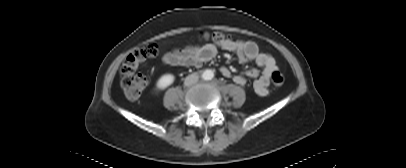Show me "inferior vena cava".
Here are the masks:
<instances>
[{
	"mask_svg": "<svg viewBox=\"0 0 406 168\" xmlns=\"http://www.w3.org/2000/svg\"><path fill=\"white\" fill-rule=\"evenodd\" d=\"M198 78H199L198 75L191 74V75L186 77L184 83H185L186 86H190V85L196 83L198 81Z\"/></svg>",
	"mask_w": 406,
	"mask_h": 168,
	"instance_id": "inferior-vena-cava-1",
	"label": "inferior vena cava"
}]
</instances>
